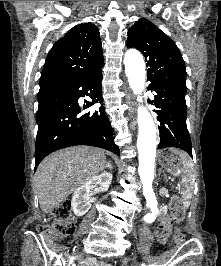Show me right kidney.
Wrapping results in <instances>:
<instances>
[{
  "mask_svg": "<svg viewBox=\"0 0 221 266\" xmlns=\"http://www.w3.org/2000/svg\"><path fill=\"white\" fill-rule=\"evenodd\" d=\"M112 181V174L104 172L99 176L91 178L84 185L78 187L72 196L71 206L76 216H83L91 207L90 190L100 186L102 191H106Z\"/></svg>",
  "mask_w": 221,
  "mask_h": 266,
  "instance_id": "right-kidney-1",
  "label": "right kidney"
}]
</instances>
